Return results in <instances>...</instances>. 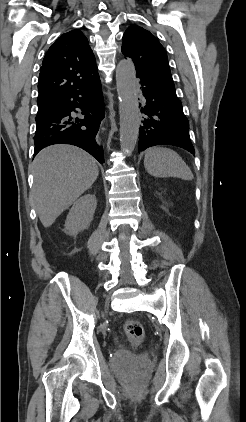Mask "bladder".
Segmentation results:
<instances>
[{
	"instance_id": "1",
	"label": "bladder",
	"mask_w": 246,
	"mask_h": 422,
	"mask_svg": "<svg viewBox=\"0 0 246 422\" xmlns=\"http://www.w3.org/2000/svg\"><path fill=\"white\" fill-rule=\"evenodd\" d=\"M112 364L119 369L143 368L149 364L146 354L132 353L128 350L118 349L111 357Z\"/></svg>"
}]
</instances>
